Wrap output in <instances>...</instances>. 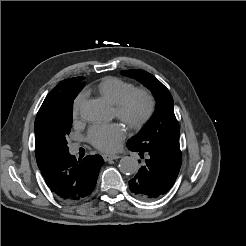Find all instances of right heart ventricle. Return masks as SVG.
Here are the masks:
<instances>
[{
  "label": "right heart ventricle",
  "mask_w": 246,
  "mask_h": 246,
  "mask_svg": "<svg viewBox=\"0 0 246 246\" xmlns=\"http://www.w3.org/2000/svg\"><path fill=\"white\" fill-rule=\"evenodd\" d=\"M134 89V84L118 77H106L97 85L100 95L114 105Z\"/></svg>",
  "instance_id": "right-heart-ventricle-1"
}]
</instances>
